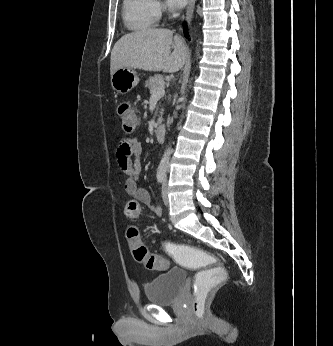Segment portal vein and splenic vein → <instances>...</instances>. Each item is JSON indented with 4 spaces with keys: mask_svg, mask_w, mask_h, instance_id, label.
<instances>
[{
    "mask_svg": "<svg viewBox=\"0 0 333 346\" xmlns=\"http://www.w3.org/2000/svg\"><path fill=\"white\" fill-rule=\"evenodd\" d=\"M165 95V90H164V87L162 88H158L156 90H154L152 92V95H151V98L152 99H160L161 97H163Z\"/></svg>",
    "mask_w": 333,
    "mask_h": 346,
    "instance_id": "18ae733b",
    "label": "portal vein and splenic vein"
}]
</instances>
